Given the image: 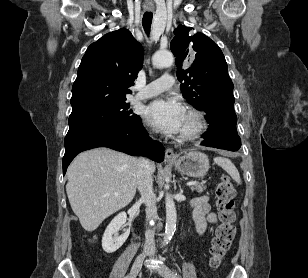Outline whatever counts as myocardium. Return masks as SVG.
<instances>
[{"instance_id":"f54148a6","label":"myocardium","mask_w":308,"mask_h":278,"mask_svg":"<svg viewBox=\"0 0 308 278\" xmlns=\"http://www.w3.org/2000/svg\"><path fill=\"white\" fill-rule=\"evenodd\" d=\"M186 113L192 117L194 125L191 129L179 133L178 138L182 141L199 138L207 128V120L202 111L194 107H188Z\"/></svg>"}]
</instances>
